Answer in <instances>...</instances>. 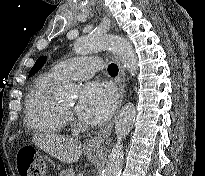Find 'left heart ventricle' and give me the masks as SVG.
<instances>
[{
  "instance_id": "obj_1",
  "label": "left heart ventricle",
  "mask_w": 205,
  "mask_h": 176,
  "mask_svg": "<svg viewBox=\"0 0 205 176\" xmlns=\"http://www.w3.org/2000/svg\"><path fill=\"white\" fill-rule=\"evenodd\" d=\"M61 106L67 110H71L74 106V103H62Z\"/></svg>"
}]
</instances>
